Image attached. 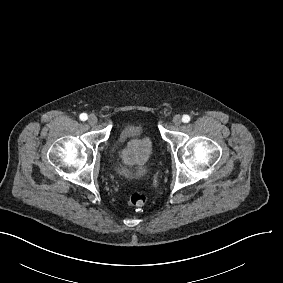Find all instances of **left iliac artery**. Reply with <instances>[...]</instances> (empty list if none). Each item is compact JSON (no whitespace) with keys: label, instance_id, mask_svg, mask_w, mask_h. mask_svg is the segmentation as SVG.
<instances>
[{"label":"left iliac artery","instance_id":"left-iliac-artery-1","mask_svg":"<svg viewBox=\"0 0 283 283\" xmlns=\"http://www.w3.org/2000/svg\"><path fill=\"white\" fill-rule=\"evenodd\" d=\"M182 121H183L184 123H188V122L190 121V117H189L188 115H183Z\"/></svg>","mask_w":283,"mask_h":283}]
</instances>
